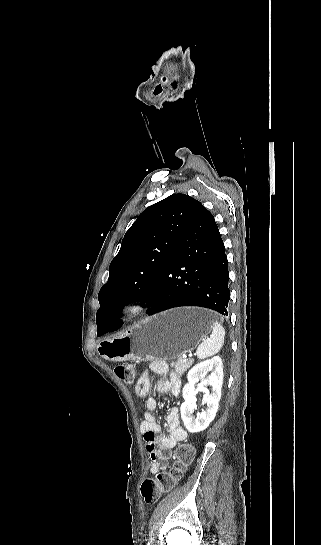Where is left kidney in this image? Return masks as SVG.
<instances>
[{
    "mask_svg": "<svg viewBox=\"0 0 321 545\" xmlns=\"http://www.w3.org/2000/svg\"><path fill=\"white\" fill-rule=\"evenodd\" d=\"M207 373H211V375L203 381V385H209V387H212V391L210 395L209 393L203 395L202 403L207 405V409L206 411L198 413V417L195 419V417H193L197 401L195 385L196 383H199ZM187 379L188 383L187 385H184L182 391L184 403H182L180 407V413L187 431H189V433H200V431H205V429L209 427L218 411L223 383V367L220 357H213V359H209V361L198 363L193 369H190Z\"/></svg>",
    "mask_w": 321,
    "mask_h": 545,
    "instance_id": "1",
    "label": "left kidney"
}]
</instances>
